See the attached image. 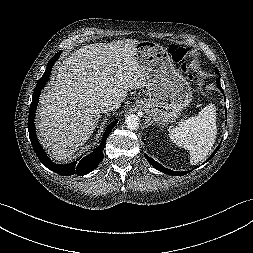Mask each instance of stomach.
Wrapping results in <instances>:
<instances>
[{
    "mask_svg": "<svg viewBox=\"0 0 253 253\" xmlns=\"http://www.w3.org/2000/svg\"><path fill=\"white\" fill-rule=\"evenodd\" d=\"M135 57L146 74L148 98L137 101L158 125L174 122L192 100L189 82L173 66L168 52L151 41H138Z\"/></svg>",
    "mask_w": 253,
    "mask_h": 253,
    "instance_id": "0dacf381",
    "label": "stomach"
}]
</instances>
